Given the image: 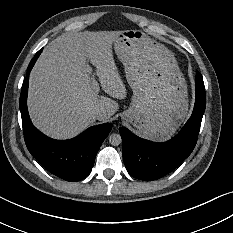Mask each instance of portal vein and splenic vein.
<instances>
[{
	"label": "portal vein and splenic vein",
	"mask_w": 233,
	"mask_h": 233,
	"mask_svg": "<svg viewBox=\"0 0 233 233\" xmlns=\"http://www.w3.org/2000/svg\"><path fill=\"white\" fill-rule=\"evenodd\" d=\"M91 82H92L93 90H95V91L99 90V84H98L97 80L93 79Z\"/></svg>",
	"instance_id": "portal-vein-and-splenic-vein-1"
}]
</instances>
